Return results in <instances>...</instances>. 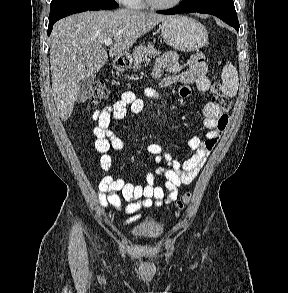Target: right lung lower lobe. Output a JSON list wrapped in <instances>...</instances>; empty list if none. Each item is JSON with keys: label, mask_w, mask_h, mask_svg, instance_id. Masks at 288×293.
<instances>
[{"label": "right lung lower lobe", "mask_w": 288, "mask_h": 293, "mask_svg": "<svg viewBox=\"0 0 288 293\" xmlns=\"http://www.w3.org/2000/svg\"><path fill=\"white\" fill-rule=\"evenodd\" d=\"M87 10H101V8H97V7H81V8H77V9H73V10H70V11H67L59 16H56L55 18H52V19H49V27H48V36L50 35L51 31H52V27H53V24L58 21L59 19L63 18V17H66L68 15H71V14H74V13H79V12H84V11H87ZM105 10H108V9H105Z\"/></svg>", "instance_id": "98d812e1"}]
</instances>
